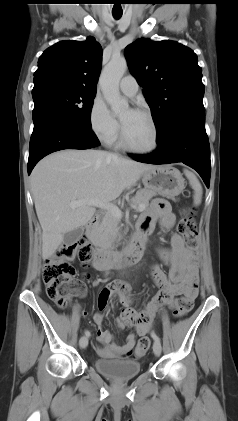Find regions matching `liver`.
<instances>
[{"instance_id":"obj_1","label":"liver","mask_w":238,"mask_h":421,"mask_svg":"<svg viewBox=\"0 0 238 421\" xmlns=\"http://www.w3.org/2000/svg\"><path fill=\"white\" fill-rule=\"evenodd\" d=\"M152 167L101 150H63L41 160L31 174V191L42 228L43 259L55 253L67 232L94 215V206L72 209L71 202L112 201Z\"/></svg>"}]
</instances>
